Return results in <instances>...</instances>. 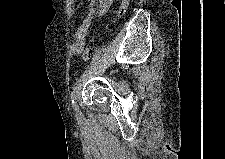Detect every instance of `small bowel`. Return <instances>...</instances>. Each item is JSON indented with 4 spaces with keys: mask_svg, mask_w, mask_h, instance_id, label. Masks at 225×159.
Listing matches in <instances>:
<instances>
[{
    "mask_svg": "<svg viewBox=\"0 0 225 159\" xmlns=\"http://www.w3.org/2000/svg\"><path fill=\"white\" fill-rule=\"evenodd\" d=\"M111 4H112V0H100L97 6H95L94 1H90L89 13L86 19L81 24V26L75 32L74 39L70 46V52L72 55H80L83 52L87 32L94 14L98 13L102 15L106 13L109 7L111 6ZM69 7L71 9V12L73 13L72 1L69 2Z\"/></svg>",
    "mask_w": 225,
    "mask_h": 159,
    "instance_id": "1",
    "label": "small bowel"
}]
</instances>
